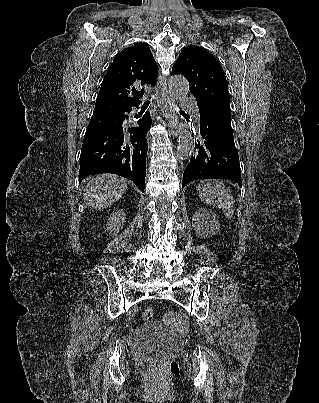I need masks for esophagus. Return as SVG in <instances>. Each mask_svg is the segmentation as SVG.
I'll list each match as a JSON object with an SVG mask.
<instances>
[{
    "mask_svg": "<svg viewBox=\"0 0 319 403\" xmlns=\"http://www.w3.org/2000/svg\"><path fill=\"white\" fill-rule=\"evenodd\" d=\"M158 89H159L160 101L165 111V118L167 121L169 131L172 133L173 136L177 137L180 132V129L178 128L177 125L178 119L176 114L174 113L173 100L167 88L166 77L163 75L159 77Z\"/></svg>",
    "mask_w": 319,
    "mask_h": 403,
    "instance_id": "esophagus-1",
    "label": "esophagus"
}]
</instances>
